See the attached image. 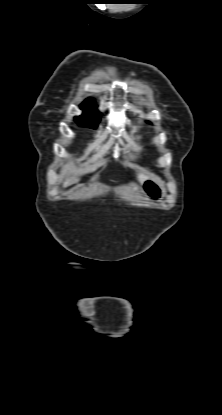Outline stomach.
<instances>
[{
  "label": "stomach",
  "instance_id": "stomach-1",
  "mask_svg": "<svg viewBox=\"0 0 222 415\" xmlns=\"http://www.w3.org/2000/svg\"><path fill=\"white\" fill-rule=\"evenodd\" d=\"M142 186L146 196L153 201H160L166 196L162 182L156 177H147Z\"/></svg>",
  "mask_w": 222,
  "mask_h": 415
}]
</instances>
